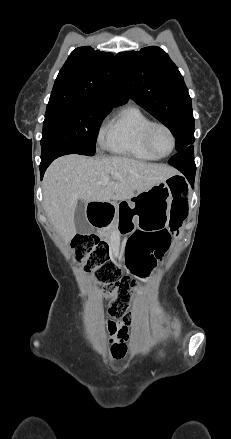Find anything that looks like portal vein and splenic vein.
I'll return each instance as SVG.
<instances>
[{
	"label": "portal vein and splenic vein",
	"mask_w": 231,
	"mask_h": 439,
	"mask_svg": "<svg viewBox=\"0 0 231 439\" xmlns=\"http://www.w3.org/2000/svg\"><path fill=\"white\" fill-rule=\"evenodd\" d=\"M110 182V178L109 177H104L99 183L101 185H107Z\"/></svg>",
	"instance_id": "1"
}]
</instances>
